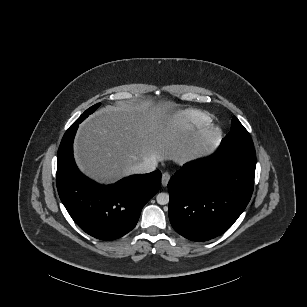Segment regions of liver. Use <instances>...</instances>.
I'll return each instance as SVG.
<instances>
[{
	"instance_id": "liver-1",
	"label": "liver",
	"mask_w": 307,
	"mask_h": 307,
	"mask_svg": "<svg viewBox=\"0 0 307 307\" xmlns=\"http://www.w3.org/2000/svg\"><path fill=\"white\" fill-rule=\"evenodd\" d=\"M177 104L151 99L117 101L99 109L79 127L74 153L79 169L100 183L130 175L147 158L182 164L194 156L196 137L172 127Z\"/></svg>"
}]
</instances>
